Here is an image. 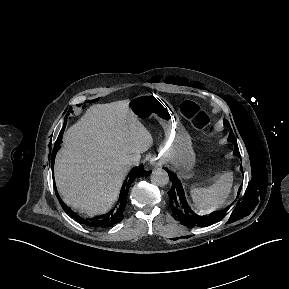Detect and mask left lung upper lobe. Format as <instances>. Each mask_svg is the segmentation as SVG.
I'll use <instances>...</instances> for the list:
<instances>
[{
	"instance_id": "5c2ea615",
	"label": "left lung upper lobe",
	"mask_w": 289,
	"mask_h": 289,
	"mask_svg": "<svg viewBox=\"0 0 289 289\" xmlns=\"http://www.w3.org/2000/svg\"><path fill=\"white\" fill-rule=\"evenodd\" d=\"M224 124H225V126H228L230 128V125H229L228 121L225 120ZM228 140L234 144V146H235L234 154L239 157L240 156L239 149H238V146H237V142H236L234 133H233V131L231 129H230V134H229V139Z\"/></svg>"
}]
</instances>
